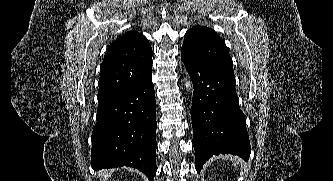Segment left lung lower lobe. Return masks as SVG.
Returning a JSON list of instances; mask_svg holds the SVG:
<instances>
[{
    "label": "left lung lower lobe",
    "mask_w": 333,
    "mask_h": 181,
    "mask_svg": "<svg viewBox=\"0 0 333 181\" xmlns=\"http://www.w3.org/2000/svg\"><path fill=\"white\" fill-rule=\"evenodd\" d=\"M181 59L194 85L191 116L196 170L213 155L233 154L247 161L251 147L235 76L183 51Z\"/></svg>",
    "instance_id": "obj_1"
}]
</instances>
